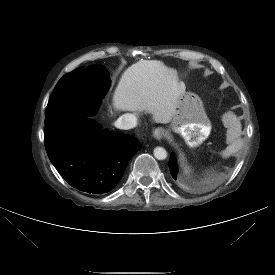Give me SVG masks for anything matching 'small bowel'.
<instances>
[{"mask_svg":"<svg viewBox=\"0 0 275 275\" xmlns=\"http://www.w3.org/2000/svg\"><path fill=\"white\" fill-rule=\"evenodd\" d=\"M224 123L228 128L227 141L231 143L225 150L221 152L223 157H229L233 153H236L241 148V141L236 140V134L240 133L241 125L238 119L231 113L224 116Z\"/></svg>","mask_w":275,"mask_h":275,"instance_id":"1","label":"small bowel"}]
</instances>
